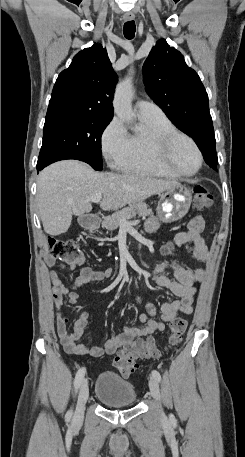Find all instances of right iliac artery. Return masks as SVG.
I'll list each match as a JSON object with an SVG mask.
<instances>
[{
	"instance_id": "1",
	"label": "right iliac artery",
	"mask_w": 245,
	"mask_h": 457,
	"mask_svg": "<svg viewBox=\"0 0 245 457\" xmlns=\"http://www.w3.org/2000/svg\"><path fill=\"white\" fill-rule=\"evenodd\" d=\"M85 372H86V369L83 367L81 369L78 370V372L76 373V376H75V381H74V386H75V390L77 391L84 379V375H85ZM72 415V410L68 411L66 417L67 419H70Z\"/></svg>"
}]
</instances>
